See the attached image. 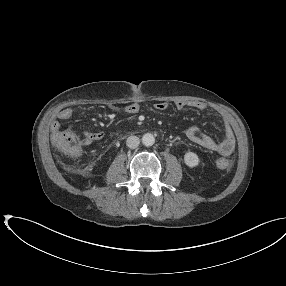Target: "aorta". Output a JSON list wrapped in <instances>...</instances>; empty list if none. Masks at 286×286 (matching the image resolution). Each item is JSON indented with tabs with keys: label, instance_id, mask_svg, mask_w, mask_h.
Returning <instances> with one entry per match:
<instances>
[{
	"label": "aorta",
	"instance_id": "762f6f07",
	"mask_svg": "<svg viewBox=\"0 0 286 286\" xmlns=\"http://www.w3.org/2000/svg\"><path fill=\"white\" fill-rule=\"evenodd\" d=\"M142 143L147 147L152 146L155 143V137L151 133H145L142 136Z\"/></svg>",
	"mask_w": 286,
	"mask_h": 286
}]
</instances>
